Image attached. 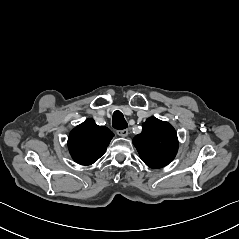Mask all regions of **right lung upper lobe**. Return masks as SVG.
Segmentation results:
<instances>
[{
	"label": "right lung upper lobe",
	"mask_w": 239,
	"mask_h": 239,
	"mask_svg": "<svg viewBox=\"0 0 239 239\" xmlns=\"http://www.w3.org/2000/svg\"><path fill=\"white\" fill-rule=\"evenodd\" d=\"M114 134L104 126H98L93 119H87L69 134L68 148L75 162L91 165L106 151Z\"/></svg>",
	"instance_id": "right-lung-upper-lobe-1"
}]
</instances>
